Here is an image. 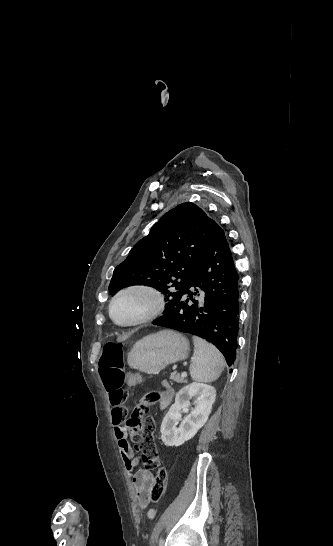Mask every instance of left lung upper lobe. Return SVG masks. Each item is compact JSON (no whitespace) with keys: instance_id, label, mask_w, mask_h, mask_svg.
I'll list each match as a JSON object with an SVG mask.
<instances>
[{"instance_id":"5c2ea615","label":"left lung upper lobe","mask_w":333,"mask_h":546,"mask_svg":"<svg viewBox=\"0 0 333 546\" xmlns=\"http://www.w3.org/2000/svg\"><path fill=\"white\" fill-rule=\"evenodd\" d=\"M218 224L187 202L164 214L150 233L118 265L109 285L112 295L131 285L152 286L165 295L164 314L172 298L182 293L208 253Z\"/></svg>"}]
</instances>
